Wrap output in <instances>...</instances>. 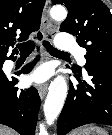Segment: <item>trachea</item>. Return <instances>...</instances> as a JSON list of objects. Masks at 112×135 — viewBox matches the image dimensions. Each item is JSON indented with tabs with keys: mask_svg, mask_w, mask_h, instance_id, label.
Instances as JSON below:
<instances>
[{
	"mask_svg": "<svg viewBox=\"0 0 112 135\" xmlns=\"http://www.w3.org/2000/svg\"><path fill=\"white\" fill-rule=\"evenodd\" d=\"M44 47L47 49V51L51 54H59V55H67L68 53L60 51L56 48H54L49 42L43 41ZM17 48L20 51V55H28L30 54L34 48H35V43L33 41H28L22 44H18Z\"/></svg>",
	"mask_w": 112,
	"mask_h": 135,
	"instance_id": "3493384b",
	"label": "trachea"
}]
</instances>
